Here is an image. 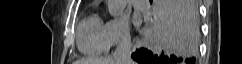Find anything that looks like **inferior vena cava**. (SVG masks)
<instances>
[{"label": "inferior vena cava", "instance_id": "602c4592", "mask_svg": "<svg viewBox=\"0 0 242 64\" xmlns=\"http://www.w3.org/2000/svg\"><path fill=\"white\" fill-rule=\"evenodd\" d=\"M131 38L125 35L114 51L112 58L116 64H131Z\"/></svg>", "mask_w": 242, "mask_h": 64}]
</instances>
